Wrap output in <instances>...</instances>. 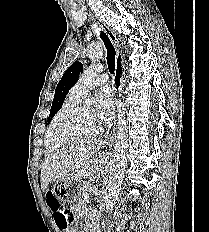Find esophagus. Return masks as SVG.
<instances>
[{"label":"esophagus","mask_w":209,"mask_h":232,"mask_svg":"<svg viewBox=\"0 0 209 232\" xmlns=\"http://www.w3.org/2000/svg\"><path fill=\"white\" fill-rule=\"evenodd\" d=\"M92 18V20L96 23V25L101 28L110 38L111 42L114 44L117 50L116 54V67H115V74H114V83L118 91L120 92L123 88V58L122 54L119 50V45L116 36L114 33L110 30V28L99 18L97 17L94 13L90 12L89 14ZM113 131L114 127H111L108 129V131L105 134V140L108 141L112 138L113 136Z\"/></svg>","instance_id":"34e87169"}]
</instances>
